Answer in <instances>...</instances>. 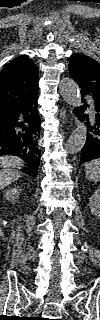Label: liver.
Wrapping results in <instances>:
<instances>
[{"label":"liver","instance_id":"obj_1","mask_svg":"<svg viewBox=\"0 0 100 320\" xmlns=\"http://www.w3.org/2000/svg\"><path fill=\"white\" fill-rule=\"evenodd\" d=\"M0 163L2 168L0 171V188L3 189L21 176L19 169L23 167L24 162L19 157L10 155L2 156Z\"/></svg>","mask_w":100,"mask_h":320}]
</instances>
